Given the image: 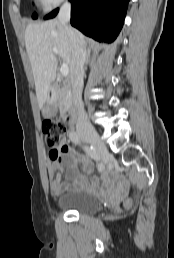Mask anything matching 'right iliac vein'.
<instances>
[{
    "label": "right iliac vein",
    "mask_w": 174,
    "mask_h": 258,
    "mask_svg": "<svg viewBox=\"0 0 174 258\" xmlns=\"http://www.w3.org/2000/svg\"><path fill=\"white\" fill-rule=\"evenodd\" d=\"M83 138L92 144L98 154L106 161L108 150L104 142L99 137L98 133L95 130H90L83 134Z\"/></svg>",
    "instance_id": "obj_1"
}]
</instances>
